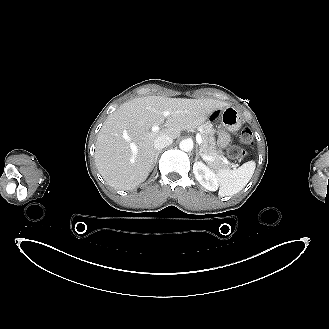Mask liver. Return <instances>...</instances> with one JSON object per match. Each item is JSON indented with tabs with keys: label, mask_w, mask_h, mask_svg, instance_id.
Masks as SVG:
<instances>
[{
	"label": "liver",
	"mask_w": 329,
	"mask_h": 329,
	"mask_svg": "<svg viewBox=\"0 0 329 329\" xmlns=\"http://www.w3.org/2000/svg\"><path fill=\"white\" fill-rule=\"evenodd\" d=\"M227 103L215 99H184L163 96L135 98L110 114L98 133L95 164L108 185L132 190L144 182L154 165V141L160 135L176 139L181 131H192L210 114ZM170 115L165 119L163 112ZM166 128L150 132L155 125ZM127 134L128 138H125ZM136 147V152L132 147Z\"/></svg>",
	"instance_id": "liver-1"
}]
</instances>
